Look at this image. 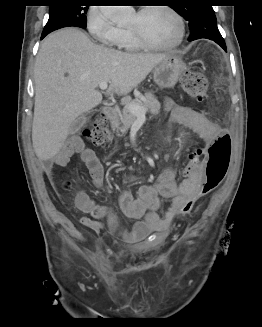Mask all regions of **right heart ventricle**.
Segmentation results:
<instances>
[{"label":"right heart ventricle","mask_w":262,"mask_h":327,"mask_svg":"<svg viewBox=\"0 0 262 327\" xmlns=\"http://www.w3.org/2000/svg\"><path fill=\"white\" fill-rule=\"evenodd\" d=\"M120 47L127 51H138L143 48L128 29H122Z\"/></svg>","instance_id":"e07e8e85"}]
</instances>
